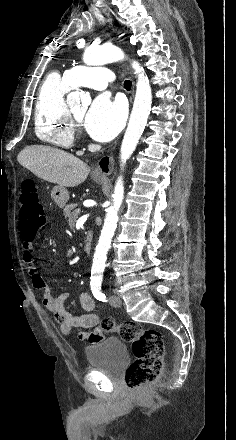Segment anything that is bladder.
<instances>
[{"label": "bladder", "mask_w": 236, "mask_h": 440, "mask_svg": "<svg viewBox=\"0 0 236 440\" xmlns=\"http://www.w3.org/2000/svg\"><path fill=\"white\" fill-rule=\"evenodd\" d=\"M84 352L90 370L110 377L117 376L129 360L127 345L116 337L93 343L85 347Z\"/></svg>", "instance_id": "31cf9c89"}]
</instances>
